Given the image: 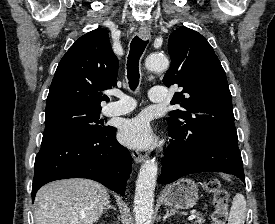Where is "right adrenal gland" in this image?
Segmentation results:
<instances>
[{
	"instance_id": "obj_1",
	"label": "right adrenal gland",
	"mask_w": 275,
	"mask_h": 224,
	"mask_svg": "<svg viewBox=\"0 0 275 224\" xmlns=\"http://www.w3.org/2000/svg\"><path fill=\"white\" fill-rule=\"evenodd\" d=\"M109 209H113L114 211L116 210L112 205H108L106 208H105V211L109 210Z\"/></svg>"
}]
</instances>
